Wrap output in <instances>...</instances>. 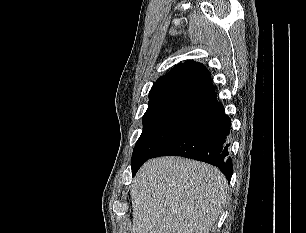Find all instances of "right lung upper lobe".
<instances>
[{"label":"right lung upper lobe","instance_id":"cb5924a9","mask_svg":"<svg viewBox=\"0 0 306 233\" xmlns=\"http://www.w3.org/2000/svg\"><path fill=\"white\" fill-rule=\"evenodd\" d=\"M149 105L163 101H183L206 108L215 102V89L206 67L185 61L160 77L149 92Z\"/></svg>","mask_w":306,"mask_h":233}]
</instances>
